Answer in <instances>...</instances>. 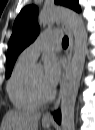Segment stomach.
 <instances>
[{"instance_id":"obj_1","label":"stomach","mask_w":95,"mask_h":130,"mask_svg":"<svg viewBox=\"0 0 95 130\" xmlns=\"http://www.w3.org/2000/svg\"><path fill=\"white\" fill-rule=\"evenodd\" d=\"M43 126H44L45 128H48V127L50 126V124H49V123H47V124L44 123Z\"/></svg>"}]
</instances>
